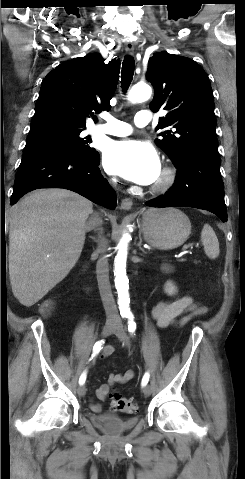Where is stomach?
Wrapping results in <instances>:
<instances>
[{
  "instance_id": "obj_1",
  "label": "stomach",
  "mask_w": 245,
  "mask_h": 479,
  "mask_svg": "<svg viewBox=\"0 0 245 479\" xmlns=\"http://www.w3.org/2000/svg\"><path fill=\"white\" fill-rule=\"evenodd\" d=\"M142 232L145 241L163 250L177 248L191 234L189 218L176 208L150 209L143 214Z\"/></svg>"
}]
</instances>
